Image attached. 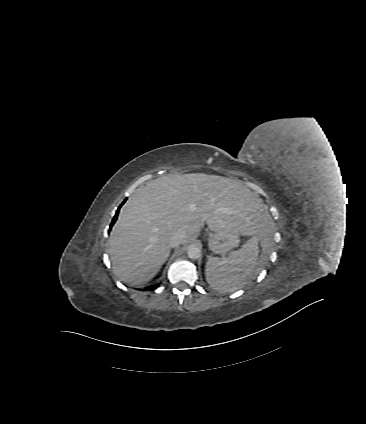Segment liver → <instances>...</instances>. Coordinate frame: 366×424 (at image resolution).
Returning a JSON list of instances; mask_svg holds the SVG:
<instances>
[{
    "instance_id": "6515ba94",
    "label": "liver",
    "mask_w": 366,
    "mask_h": 424,
    "mask_svg": "<svg viewBox=\"0 0 366 424\" xmlns=\"http://www.w3.org/2000/svg\"><path fill=\"white\" fill-rule=\"evenodd\" d=\"M262 203L239 180L191 173L163 176L140 187L122 207L109 237L113 271L122 281H150L168 258L170 237L183 231L186 244L206 222L211 231L265 240Z\"/></svg>"
}]
</instances>
